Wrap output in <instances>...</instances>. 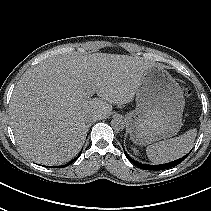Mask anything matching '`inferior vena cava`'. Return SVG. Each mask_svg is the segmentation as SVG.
<instances>
[{
	"label": "inferior vena cava",
	"mask_w": 211,
	"mask_h": 211,
	"mask_svg": "<svg viewBox=\"0 0 211 211\" xmlns=\"http://www.w3.org/2000/svg\"><path fill=\"white\" fill-rule=\"evenodd\" d=\"M96 119V116H87L86 117V122H89V121H92V120H95Z\"/></svg>",
	"instance_id": "1"
}]
</instances>
